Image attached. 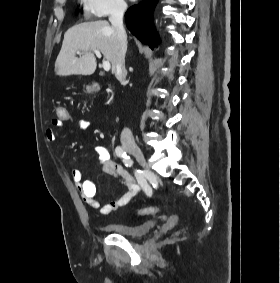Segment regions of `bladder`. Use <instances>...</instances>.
<instances>
[{"label":"bladder","instance_id":"31cf9c89","mask_svg":"<svg viewBox=\"0 0 280 283\" xmlns=\"http://www.w3.org/2000/svg\"><path fill=\"white\" fill-rule=\"evenodd\" d=\"M156 227V222L147 221L138 225H130L127 223L117 222L109 223L104 228L112 234L127 238H138L153 230Z\"/></svg>","mask_w":280,"mask_h":283}]
</instances>
